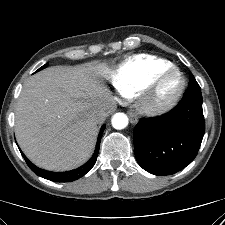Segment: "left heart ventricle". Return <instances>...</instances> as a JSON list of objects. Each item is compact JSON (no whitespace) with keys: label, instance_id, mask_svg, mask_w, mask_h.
I'll return each instance as SVG.
<instances>
[{"label":"left heart ventricle","instance_id":"obj_1","mask_svg":"<svg viewBox=\"0 0 225 225\" xmlns=\"http://www.w3.org/2000/svg\"><path fill=\"white\" fill-rule=\"evenodd\" d=\"M171 85H172V82L166 83V84L164 85L163 89H162L163 92L166 91V90H168V89L171 87Z\"/></svg>","mask_w":225,"mask_h":225}]
</instances>
